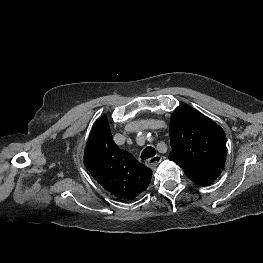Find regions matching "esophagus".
<instances>
[{
  "instance_id": "obj_1",
  "label": "esophagus",
  "mask_w": 263,
  "mask_h": 263,
  "mask_svg": "<svg viewBox=\"0 0 263 263\" xmlns=\"http://www.w3.org/2000/svg\"><path fill=\"white\" fill-rule=\"evenodd\" d=\"M161 161H162V157L160 155H155V156L147 159L145 164L148 167L153 168V167L157 166Z\"/></svg>"
}]
</instances>
